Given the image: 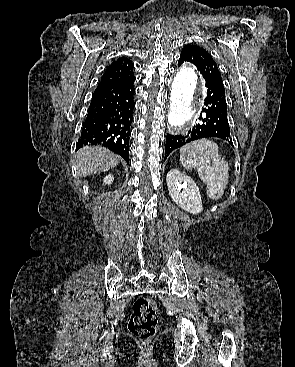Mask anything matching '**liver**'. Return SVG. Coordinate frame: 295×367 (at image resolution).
<instances>
[{"label": "liver", "mask_w": 295, "mask_h": 367, "mask_svg": "<svg viewBox=\"0 0 295 367\" xmlns=\"http://www.w3.org/2000/svg\"><path fill=\"white\" fill-rule=\"evenodd\" d=\"M75 157L80 177L108 171L119 162V156L101 146H86L80 149Z\"/></svg>", "instance_id": "liver-1"}]
</instances>
